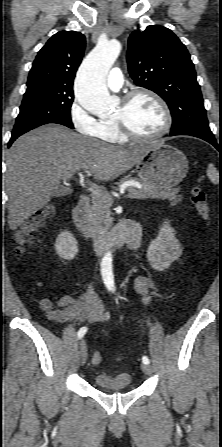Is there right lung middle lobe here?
<instances>
[{"instance_id":"right-lung-middle-lobe-1","label":"right lung middle lobe","mask_w":222,"mask_h":447,"mask_svg":"<svg viewBox=\"0 0 222 447\" xmlns=\"http://www.w3.org/2000/svg\"><path fill=\"white\" fill-rule=\"evenodd\" d=\"M73 91L39 85L27 88L12 136H20L38 126L57 123L70 125Z\"/></svg>"}]
</instances>
